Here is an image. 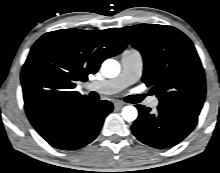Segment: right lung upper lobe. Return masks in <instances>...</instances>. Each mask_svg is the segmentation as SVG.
Segmentation results:
<instances>
[{
  "label": "right lung upper lobe",
  "mask_w": 220,
  "mask_h": 173,
  "mask_svg": "<svg viewBox=\"0 0 220 173\" xmlns=\"http://www.w3.org/2000/svg\"><path fill=\"white\" fill-rule=\"evenodd\" d=\"M127 40L116 29L85 31L57 30L44 34L31 48L21 72L25 106L38 109L28 117L51 109L58 102L80 94L75 82L87 81L101 63L120 54Z\"/></svg>",
  "instance_id": "cb5924a9"
}]
</instances>
